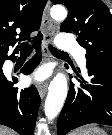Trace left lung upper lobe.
Segmentation results:
<instances>
[{
	"label": "left lung upper lobe",
	"instance_id": "1",
	"mask_svg": "<svg viewBox=\"0 0 112 135\" xmlns=\"http://www.w3.org/2000/svg\"><path fill=\"white\" fill-rule=\"evenodd\" d=\"M63 4L68 16L62 22L61 32H73L78 43L87 51V67L112 66V15L101 0H52Z\"/></svg>",
	"mask_w": 112,
	"mask_h": 135
}]
</instances>
